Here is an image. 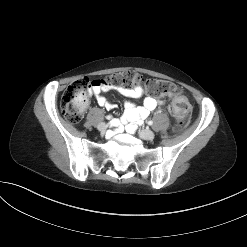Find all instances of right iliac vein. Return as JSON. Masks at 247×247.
I'll return each instance as SVG.
<instances>
[{
    "instance_id": "1",
    "label": "right iliac vein",
    "mask_w": 247,
    "mask_h": 247,
    "mask_svg": "<svg viewBox=\"0 0 247 247\" xmlns=\"http://www.w3.org/2000/svg\"><path fill=\"white\" fill-rule=\"evenodd\" d=\"M107 127H108V124H106V123H100V124L97 126L98 130L101 131V132H105L106 129H107Z\"/></svg>"
}]
</instances>
